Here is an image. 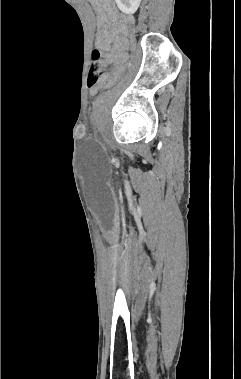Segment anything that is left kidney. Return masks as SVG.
Returning <instances> with one entry per match:
<instances>
[{
    "instance_id": "obj_1",
    "label": "left kidney",
    "mask_w": 241,
    "mask_h": 379,
    "mask_svg": "<svg viewBox=\"0 0 241 379\" xmlns=\"http://www.w3.org/2000/svg\"><path fill=\"white\" fill-rule=\"evenodd\" d=\"M118 8L125 14H133L137 11L141 0H115Z\"/></svg>"
}]
</instances>
